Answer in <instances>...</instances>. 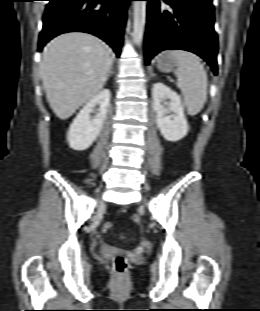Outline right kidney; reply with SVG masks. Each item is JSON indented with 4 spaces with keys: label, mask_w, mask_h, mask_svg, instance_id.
<instances>
[{
    "label": "right kidney",
    "mask_w": 260,
    "mask_h": 311,
    "mask_svg": "<svg viewBox=\"0 0 260 311\" xmlns=\"http://www.w3.org/2000/svg\"><path fill=\"white\" fill-rule=\"evenodd\" d=\"M110 97V90L103 89L79 112L70 125L67 134L70 148L77 151L86 150L96 140L102 130L104 121L107 118ZM96 105H99V109L95 118L92 119L90 114Z\"/></svg>",
    "instance_id": "1"
}]
</instances>
